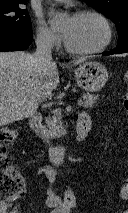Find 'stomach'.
Instances as JSON below:
<instances>
[{"instance_id": "obj_1", "label": "stomach", "mask_w": 128, "mask_h": 213, "mask_svg": "<svg viewBox=\"0 0 128 213\" xmlns=\"http://www.w3.org/2000/svg\"><path fill=\"white\" fill-rule=\"evenodd\" d=\"M77 84L82 89L95 92L102 89L108 80L106 67L98 62H86L75 70Z\"/></svg>"}]
</instances>
